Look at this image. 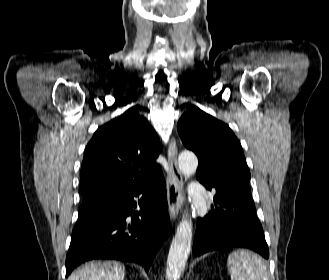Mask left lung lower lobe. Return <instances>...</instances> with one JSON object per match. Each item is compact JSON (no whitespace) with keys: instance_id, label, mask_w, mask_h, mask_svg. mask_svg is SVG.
Returning <instances> with one entry per match:
<instances>
[{"instance_id":"left-lung-lower-lobe-1","label":"left lung lower lobe","mask_w":329,"mask_h":280,"mask_svg":"<svg viewBox=\"0 0 329 280\" xmlns=\"http://www.w3.org/2000/svg\"><path fill=\"white\" fill-rule=\"evenodd\" d=\"M215 205L203 218H198L193 254L230 247L252 249L269 257L262 226L255 213L249 189L240 188L229 196H214Z\"/></svg>"}]
</instances>
